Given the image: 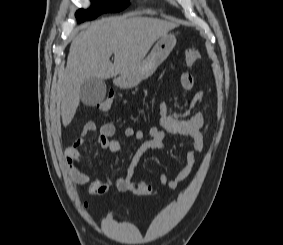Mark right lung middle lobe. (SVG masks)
<instances>
[{
	"mask_svg": "<svg viewBox=\"0 0 283 245\" xmlns=\"http://www.w3.org/2000/svg\"><path fill=\"white\" fill-rule=\"evenodd\" d=\"M91 2L93 9H80L76 13L78 22L94 19L102 13L121 11L129 4V0H91Z\"/></svg>",
	"mask_w": 283,
	"mask_h": 245,
	"instance_id": "dd1d6c3e",
	"label": "right lung middle lobe"
}]
</instances>
